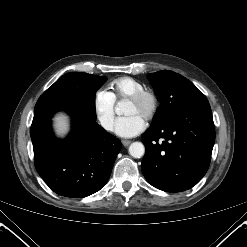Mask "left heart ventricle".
<instances>
[{
	"mask_svg": "<svg viewBox=\"0 0 247 247\" xmlns=\"http://www.w3.org/2000/svg\"><path fill=\"white\" fill-rule=\"evenodd\" d=\"M148 107H149V104L147 101H144L141 103L127 102L124 112L127 115L137 113L141 115L142 117H145Z\"/></svg>",
	"mask_w": 247,
	"mask_h": 247,
	"instance_id": "left-heart-ventricle-1",
	"label": "left heart ventricle"
}]
</instances>
